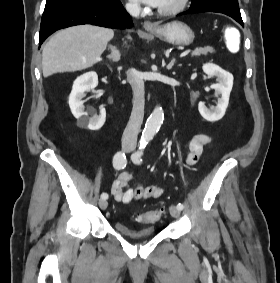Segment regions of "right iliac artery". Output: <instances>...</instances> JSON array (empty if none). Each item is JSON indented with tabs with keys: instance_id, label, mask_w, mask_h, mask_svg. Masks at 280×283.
Segmentation results:
<instances>
[{
	"instance_id": "82829eb1",
	"label": "right iliac artery",
	"mask_w": 280,
	"mask_h": 283,
	"mask_svg": "<svg viewBox=\"0 0 280 283\" xmlns=\"http://www.w3.org/2000/svg\"><path fill=\"white\" fill-rule=\"evenodd\" d=\"M127 164V160H126V155L124 152H117L115 155H114V158H113V166L115 169L117 170H121V169H124L125 166ZM101 198L106 200L108 199V194L103 192L101 194Z\"/></svg>"
}]
</instances>
